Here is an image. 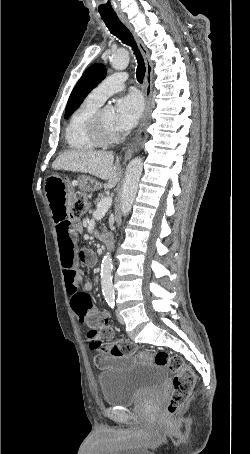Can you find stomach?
<instances>
[{"mask_svg":"<svg viewBox=\"0 0 250 454\" xmlns=\"http://www.w3.org/2000/svg\"><path fill=\"white\" fill-rule=\"evenodd\" d=\"M50 176H59V175H50ZM46 184V183H45ZM70 184V183H69ZM84 187L87 189V190H95L97 189L99 186L98 184L95 182V180L91 179V178H84ZM71 188V187H70Z\"/></svg>","mask_w":250,"mask_h":454,"instance_id":"1","label":"stomach"}]
</instances>
